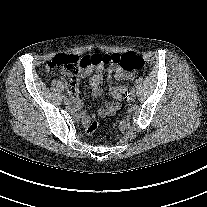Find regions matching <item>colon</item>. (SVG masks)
Wrapping results in <instances>:
<instances>
[{
  "mask_svg": "<svg viewBox=\"0 0 207 207\" xmlns=\"http://www.w3.org/2000/svg\"><path fill=\"white\" fill-rule=\"evenodd\" d=\"M98 65H115L124 71L140 70L144 66V59L133 53L125 54H92L84 57H77L70 54H61L53 58L48 63V69L60 72L68 88L74 91L77 86V76L81 69L98 66ZM98 128V121L93 120L86 126L85 132L90 135Z\"/></svg>",
  "mask_w": 207,
  "mask_h": 207,
  "instance_id": "5ec220e1",
  "label": "colon"
}]
</instances>
